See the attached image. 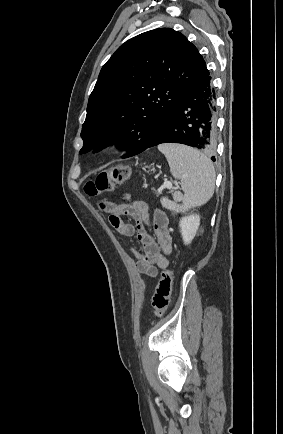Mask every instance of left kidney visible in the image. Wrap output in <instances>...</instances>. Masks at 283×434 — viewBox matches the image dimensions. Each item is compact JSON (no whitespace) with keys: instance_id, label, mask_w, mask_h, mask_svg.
Returning <instances> with one entry per match:
<instances>
[{"instance_id":"obj_1","label":"left kidney","mask_w":283,"mask_h":434,"mask_svg":"<svg viewBox=\"0 0 283 434\" xmlns=\"http://www.w3.org/2000/svg\"><path fill=\"white\" fill-rule=\"evenodd\" d=\"M199 225L200 216L198 214H191L180 219L179 227L185 245L192 242L196 236Z\"/></svg>"}]
</instances>
